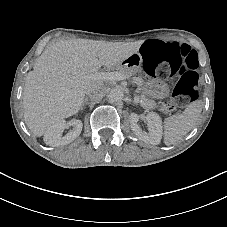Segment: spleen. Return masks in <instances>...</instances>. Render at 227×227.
I'll list each match as a JSON object with an SVG mask.
<instances>
[{
  "label": "spleen",
  "instance_id": "spleen-1",
  "mask_svg": "<svg viewBox=\"0 0 227 227\" xmlns=\"http://www.w3.org/2000/svg\"><path fill=\"white\" fill-rule=\"evenodd\" d=\"M202 111L200 102H192L181 114L171 116L165 123L164 143L180 141L197 123Z\"/></svg>",
  "mask_w": 227,
  "mask_h": 227
}]
</instances>
